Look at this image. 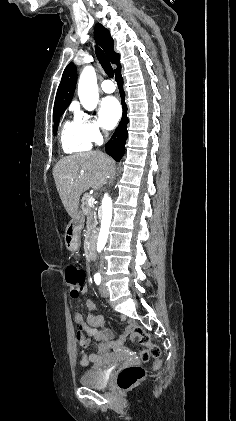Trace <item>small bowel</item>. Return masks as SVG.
<instances>
[{"mask_svg":"<svg viewBox=\"0 0 236 421\" xmlns=\"http://www.w3.org/2000/svg\"><path fill=\"white\" fill-rule=\"evenodd\" d=\"M85 291V289H84ZM86 307L89 309L90 311V316H89V324L92 326V329H95L96 327H99L102 325V318L99 317L98 315H96L94 313V305L92 302L87 301L86 302ZM76 321L78 323V325L81 327V325L84 324L83 322V317L80 314L76 315ZM116 360V358H115ZM114 360V361H115ZM91 361V357H87V355L85 353H82V360L81 363L83 366L88 365V363Z\"/></svg>","mask_w":236,"mask_h":421,"instance_id":"obj_1","label":"small bowel"}]
</instances>
